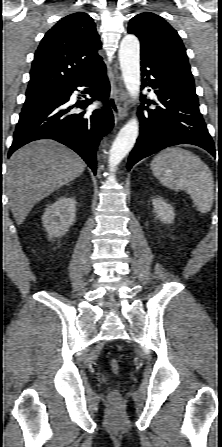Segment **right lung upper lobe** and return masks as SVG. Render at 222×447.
I'll list each match as a JSON object with an SVG mask.
<instances>
[{"mask_svg": "<svg viewBox=\"0 0 222 447\" xmlns=\"http://www.w3.org/2000/svg\"><path fill=\"white\" fill-rule=\"evenodd\" d=\"M93 19L70 14L54 25L35 52L26 98L59 95L103 63Z\"/></svg>", "mask_w": 222, "mask_h": 447, "instance_id": "right-lung-upper-lobe-1", "label": "right lung upper lobe"}]
</instances>
